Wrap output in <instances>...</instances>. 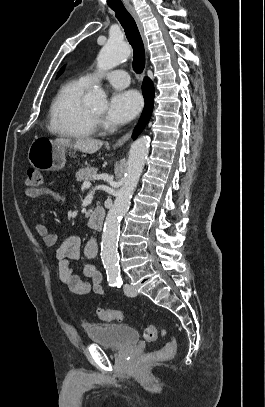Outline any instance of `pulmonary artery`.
Segmentation results:
<instances>
[{
  "mask_svg": "<svg viewBox=\"0 0 265 407\" xmlns=\"http://www.w3.org/2000/svg\"><path fill=\"white\" fill-rule=\"evenodd\" d=\"M97 78L104 79L113 87L125 88L130 84V78L127 72L123 70H112L103 74L93 72L86 73L80 77V80L86 85L91 84Z\"/></svg>",
  "mask_w": 265,
  "mask_h": 407,
  "instance_id": "pulmonary-artery-1",
  "label": "pulmonary artery"
}]
</instances>
